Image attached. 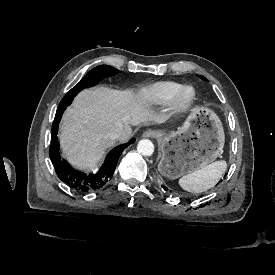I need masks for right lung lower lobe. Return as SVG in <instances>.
<instances>
[{
	"instance_id": "obj_1",
	"label": "right lung lower lobe",
	"mask_w": 275,
	"mask_h": 275,
	"mask_svg": "<svg viewBox=\"0 0 275 275\" xmlns=\"http://www.w3.org/2000/svg\"><path fill=\"white\" fill-rule=\"evenodd\" d=\"M72 101H61L54 122L51 133V146L49 149L50 159L55 167L57 176L61 181L72 187L73 189L87 193L102 188L113 176L118 159L125 148H127L135 139H131L128 143L115 147L106 157V160L101 169L96 174H85L83 172L73 169L67 161L61 159L59 154L58 143V125L62 114L66 107Z\"/></svg>"
}]
</instances>
